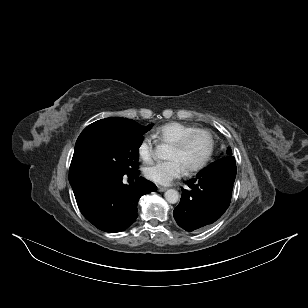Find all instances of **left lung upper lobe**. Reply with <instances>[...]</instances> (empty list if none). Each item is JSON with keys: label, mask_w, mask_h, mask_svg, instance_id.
Wrapping results in <instances>:
<instances>
[{"label": "left lung upper lobe", "mask_w": 308, "mask_h": 308, "mask_svg": "<svg viewBox=\"0 0 308 308\" xmlns=\"http://www.w3.org/2000/svg\"><path fill=\"white\" fill-rule=\"evenodd\" d=\"M231 154H232V153H231V150L228 148V149H227V154L224 155V156H231Z\"/></svg>", "instance_id": "1"}]
</instances>
